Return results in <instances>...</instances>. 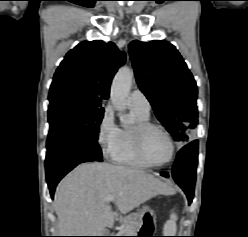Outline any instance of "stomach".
<instances>
[{"label":"stomach","instance_id":"1","mask_svg":"<svg viewBox=\"0 0 248 237\" xmlns=\"http://www.w3.org/2000/svg\"><path fill=\"white\" fill-rule=\"evenodd\" d=\"M147 211H150V209H149L147 206H145V207L143 208V210H142V214H144V213L147 212Z\"/></svg>","mask_w":248,"mask_h":237}]
</instances>
